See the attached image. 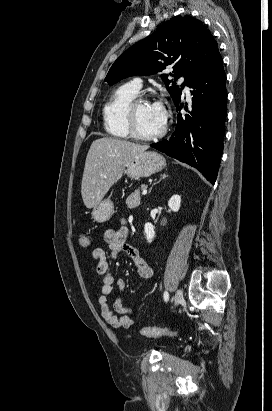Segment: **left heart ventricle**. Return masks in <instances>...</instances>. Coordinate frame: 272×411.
<instances>
[{
  "mask_svg": "<svg viewBox=\"0 0 272 411\" xmlns=\"http://www.w3.org/2000/svg\"><path fill=\"white\" fill-rule=\"evenodd\" d=\"M163 121L152 103L144 102L138 105L136 109V126L139 132L146 135L154 134L161 129Z\"/></svg>",
  "mask_w": 272,
  "mask_h": 411,
  "instance_id": "left-heart-ventricle-1",
  "label": "left heart ventricle"
}]
</instances>
